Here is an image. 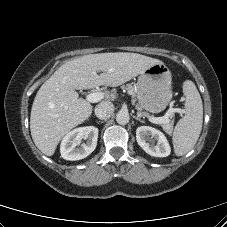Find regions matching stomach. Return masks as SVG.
<instances>
[{"label": "stomach", "mask_w": 227, "mask_h": 227, "mask_svg": "<svg viewBox=\"0 0 227 227\" xmlns=\"http://www.w3.org/2000/svg\"><path fill=\"white\" fill-rule=\"evenodd\" d=\"M172 95V76L165 64L152 65L139 75L136 96L141 108L160 113L166 109Z\"/></svg>", "instance_id": "stomach-1"}]
</instances>
